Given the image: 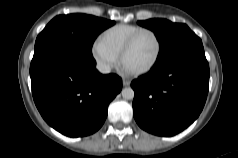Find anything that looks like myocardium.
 I'll use <instances>...</instances> for the list:
<instances>
[{
	"label": "myocardium",
	"instance_id": "myocardium-1",
	"mask_svg": "<svg viewBox=\"0 0 238 158\" xmlns=\"http://www.w3.org/2000/svg\"><path fill=\"white\" fill-rule=\"evenodd\" d=\"M145 33H149L154 37V39L156 41V45H157L156 54H155L153 60L146 67H144L142 69H139V70H129L125 67V64H124L125 57L130 52V50L133 48V46L135 45L138 38L142 34H145ZM161 52H162V43H161V40H160L158 34L155 31L151 30V29L143 28V29L137 31L136 33H134L130 37V39L127 41V43L125 44V46L123 47V49L120 53V61H121L122 66L128 72H130L132 74H135V75H141V74H145V73L151 71L155 67V65L157 64V62H158V60L161 56Z\"/></svg>",
	"mask_w": 238,
	"mask_h": 158
}]
</instances>
